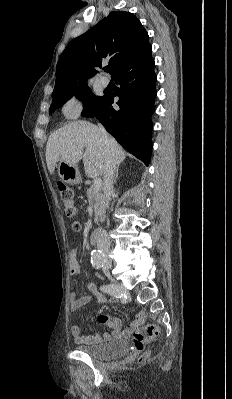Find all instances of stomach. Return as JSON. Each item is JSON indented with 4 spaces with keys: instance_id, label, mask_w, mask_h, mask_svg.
Listing matches in <instances>:
<instances>
[{
    "instance_id": "1",
    "label": "stomach",
    "mask_w": 232,
    "mask_h": 399,
    "mask_svg": "<svg viewBox=\"0 0 232 399\" xmlns=\"http://www.w3.org/2000/svg\"><path fill=\"white\" fill-rule=\"evenodd\" d=\"M57 172L65 184H80L81 178L77 166H70L66 162H59L57 164Z\"/></svg>"
}]
</instances>
